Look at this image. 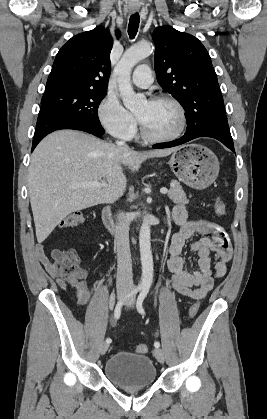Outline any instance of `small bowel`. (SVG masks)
I'll return each instance as SVG.
<instances>
[{
    "instance_id": "c3829d8e",
    "label": "small bowel",
    "mask_w": 267,
    "mask_h": 419,
    "mask_svg": "<svg viewBox=\"0 0 267 419\" xmlns=\"http://www.w3.org/2000/svg\"><path fill=\"white\" fill-rule=\"evenodd\" d=\"M171 218L180 227V230L173 235L169 248L168 270L171 285L179 294L192 299H202L212 290L215 279L226 274L227 264L232 257L230 241L223 228L215 222L207 219H189L184 205H176L171 211ZM194 236L198 238L189 245L188 259L195 257L197 268L189 272L184 268L185 260L181 254L186 242ZM71 252L77 254L75 250ZM36 257L56 279L61 289L65 290L68 285L75 288L80 309L86 308L91 296L96 294L103 284L102 280H98L89 287L86 280L87 273L83 270L71 277L59 275L42 245L37 246Z\"/></svg>"
}]
</instances>
